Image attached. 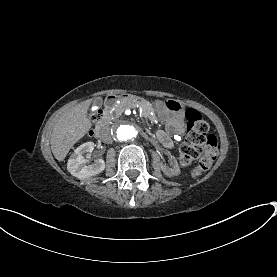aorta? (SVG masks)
<instances>
[{
  "instance_id": "obj_1",
  "label": "aorta",
  "mask_w": 277,
  "mask_h": 277,
  "mask_svg": "<svg viewBox=\"0 0 277 277\" xmlns=\"http://www.w3.org/2000/svg\"><path fill=\"white\" fill-rule=\"evenodd\" d=\"M112 132L114 140L128 143L137 140L142 132V125L134 119H119L113 122Z\"/></svg>"
}]
</instances>
